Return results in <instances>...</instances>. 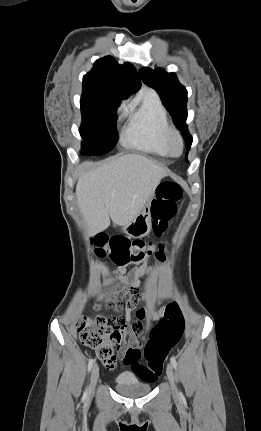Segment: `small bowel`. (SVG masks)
<instances>
[{
    "label": "small bowel",
    "mask_w": 261,
    "mask_h": 431,
    "mask_svg": "<svg viewBox=\"0 0 261 431\" xmlns=\"http://www.w3.org/2000/svg\"><path fill=\"white\" fill-rule=\"evenodd\" d=\"M124 268H119L115 271V276L111 281H118L124 286H129L128 289L123 291L124 298H116V303H121L126 306L127 311L121 312V321L119 327V333H127L129 337L130 344L137 348L141 345L138 339H141L142 327H146V324H142L143 320H146L145 314H147L146 306L141 303L142 300H147V295H142L140 291H144V286H138L140 284V278L147 274L150 269L147 267H132L130 271L124 275ZM111 302V299H108ZM96 309H99V305H95ZM135 308L136 311H135ZM130 313H135V317L132 322H130ZM153 320L159 321L163 316V309L160 307L151 313ZM143 319V320H142ZM130 322V323H129ZM146 339V336H143ZM133 350V349H132ZM138 351V350H137ZM131 360L127 355L126 361ZM134 362V361H133Z\"/></svg>",
    "instance_id": "small-bowel-1"
}]
</instances>
